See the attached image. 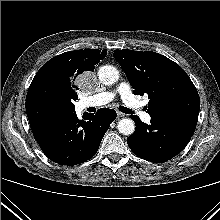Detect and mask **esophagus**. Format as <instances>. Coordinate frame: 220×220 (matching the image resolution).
I'll use <instances>...</instances> for the list:
<instances>
[{
  "label": "esophagus",
  "instance_id": "obj_1",
  "mask_svg": "<svg viewBox=\"0 0 220 220\" xmlns=\"http://www.w3.org/2000/svg\"><path fill=\"white\" fill-rule=\"evenodd\" d=\"M125 116V114L124 113H122V112H120V111H117V117H124Z\"/></svg>",
  "mask_w": 220,
  "mask_h": 220
}]
</instances>
